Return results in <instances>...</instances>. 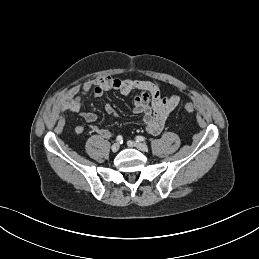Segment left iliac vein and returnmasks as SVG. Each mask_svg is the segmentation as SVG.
<instances>
[{"mask_svg": "<svg viewBox=\"0 0 259 259\" xmlns=\"http://www.w3.org/2000/svg\"><path fill=\"white\" fill-rule=\"evenodd\" d=\"M127 144H128L129 147H132V148L135 147V148H137L138 150L143 151V152H145V151L148 150L147 145L144 144V143L134 142V141H128Z\"/></svg>", "mask_w": 259, "mask_h": 259, "instance_id": "1", "label": "left iliac vein"}]
</instances>
